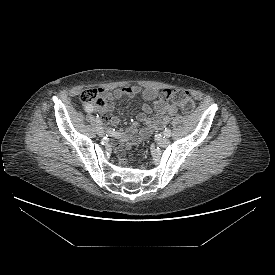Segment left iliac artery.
Returning <instances> with one entry per match:
<instances>
[{
	"mask_svg": "<svg viewBox=\"0 0 275 275\" xmlns=\"http://www.w3.org/2000/svg\"><path fill=\"white\" fill-rule=\"evenodd\" d=\"M164 136L170 137L171 136V130L170 129H165Z\"/></svg>",
	"mask_w": 275,
	"mask_h": 275,
	"instance_id": "44dca946",
	"label": "left iliac artery"
}]
</instances>
